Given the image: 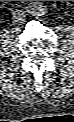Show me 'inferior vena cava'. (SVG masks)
<instances>
[{"mask_svg": "<svg viewBox=\"0 0 74 122\" xmlns=\"http://www.w3.org/2000/svg\"><path fill=\"white\" fill-rule=\"evenodd\" d=\"M26 14L24 11L16 10L13 12L12 20L15 24H23L25 21Z\"/></svg>", "mask_w": 74, "mask_h": 122, "instance_id": "1", "label": "inferior vena cava"}]
</instances>
